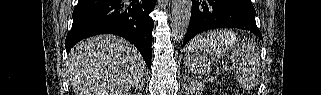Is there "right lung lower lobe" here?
<instances>
[{
    "mask_svg": "<svg viewBox=\"0 0 321 95\" xmlns=\"http://www.w3.org/2000/svg\"><path fill=\"white\" fill-rule=\"evenodd\" d=\"M156 0H78L65 41L67 53L80 40L97 34L119 35L135 45L151 68Z\"/></svg>",
    "mask_w": 321,
    "mask_h": 95,
    "instance_id": "1",
    "label": "right lung lower lobe"
}]
</instances>
